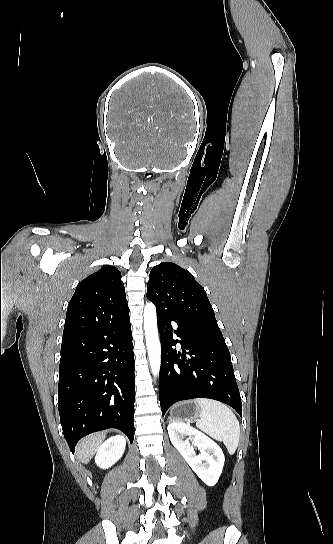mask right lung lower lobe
Instances as JSON below:
<instances>
[{
	"label": "right lung lower lobe",
	"instance_id": "right-lung-lower-lobe-1",
	"mask_svg": "<svg viewBox=\"0 0 333 544\" xmlns=\"http://www.w3.org/2000/svg\"><path fill=\"white\" fill-rule=\"evenodd\" d=\"M129 313L122 319L63 337L58 408L74 452L84 436L108 429L134 439L135 375Z\"/></svg>",
	"mask_w": 333,
	"mask_h": 544
}]
</instances>
